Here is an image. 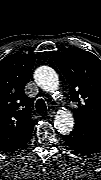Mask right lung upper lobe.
Returning <instances> with one entry per match:
<instances>
[{"mask_svg": "<svg viewBox=\"0 0 101 180\" xmlns=\"http://www.w3.org/2000/svg\"><path fill=\"white\" fill-rule=\"evenodd\" d=\"M36 54H11L0 61V148L15 149L33 131L34 114L24 88Z\"/></svg>", "mask_w": 101, "mask_h": 180, "instance_id": "1", "label": "right lung upper lobe"}]
</instances>
